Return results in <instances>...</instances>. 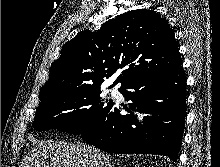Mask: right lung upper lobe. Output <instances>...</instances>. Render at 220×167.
<instances>
[{"instance_id":"obj_1","label":"right lung upper lobe","mask_w":220,"mask_h":167,"mask_svg":"<svg viewBox=\"0 0 220 167\" xmlns=\"http://www.w3.org/2000/svg\"><path fill=\"white\" fill-rule=\"evenodd\" d=\"M182 63L174 30L159 14L132 10L105 22L100 30H84L67 42L52 63L47 83L40 90L41 102L66 90L100 87L118 69L115 82H128Z\"/></svg>"}]
</instances>
